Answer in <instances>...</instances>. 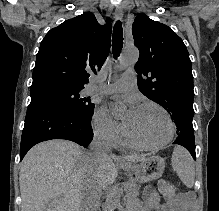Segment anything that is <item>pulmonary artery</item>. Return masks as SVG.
I'll return each instance as SVG.
<instances>
[{"label": "pulmonary artery", "instance_id": "1", "mask_svg": "<svg viewBox=\"0 0 219 211\" xmlns=\"http://www.w3.org/2000/svg\"><path fill=\"white\" fill-rule=\"evenodd\" d=\"M135 84V73L132 70H127L119 79L113 81L112 83L105 85L102 88L91 87L89 91H99L106 94L124 93L133 89Z\"/></svg>", "mask_w": 219, "mask_h": 211}]
</instances>
